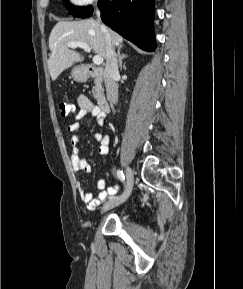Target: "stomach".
Listing matches in <instances>:
<instances>
[{
  "instance_id": "1",
  "label": "stomach",
  "mask_w": 243,
  "mask_h": 289,
  "mask_svg": "<svg viewBox=\"0 0 243 289\" xmlns=\"http://www.w3.org/2000/svg\"><path fill=\"white\" fill-rule=\"evenodd\" d=\"M71 75L73 79L77 82H84L87 80V72L81 66H76L72 69Z\"/></svg>"
}]
</instances>
